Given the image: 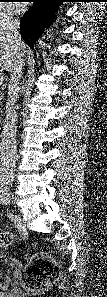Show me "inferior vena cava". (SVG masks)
Segmentation results:
<instances>
[{
    "label": "inferior vena cava",
    "mask_w": 107,
    "mask_h": 297,
    "mask_svg": "<svg viewBox=\"0 0 107 297\" xmlns=\"http://www.w3.org/2000/svg\"><path fill=\"white\" fill-rule=\"evenodd\" d=\"M20 22L18 19L10 15H4L0 20V34L5 35L9 42L17 46V60L15 67L11 72L9 84V96L6 104V117L1 133V167L2 172L6 177L11 178L15 168L16 156V101L19 95L20 87L19 81L22 76V69L24 66V42L19 34Z\"/></svg>",
    "instance_id": "602c4592"
}]
</instances>
